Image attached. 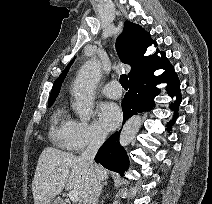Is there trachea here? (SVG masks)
<instances>
[{"label":"trachea","instance_id":"1","mask_svg":"<svg viewBox=\"0 0 212 204\" xmlns=\"http://www.w3.org/2000/svg\"><path fill=\"white\" fill-rule=\"evenodd\" d=\"M120 84L124 89H128V77L126 74L120 76Z\"/></svg>","mask_w":212,"mask_h":204}]
</instances>
